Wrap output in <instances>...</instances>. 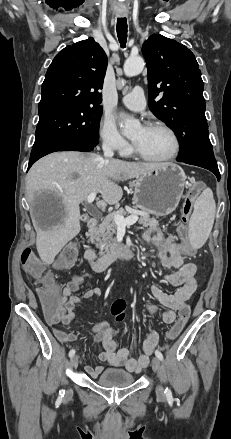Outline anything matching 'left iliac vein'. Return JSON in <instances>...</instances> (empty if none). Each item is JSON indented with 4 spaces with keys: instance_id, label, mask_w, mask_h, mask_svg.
<instances>
[{
    "instance_id": "1",
    "label": "left iliac vein",
    "mask_w": 231,
    "mask_h": 439,
    "mask_svg": "<svg viewBox=\"0 0 231 439\" xmlns=\"http://www.w3.org/2000/svg\"><path fill=\"white\" fill-rule=\"evenodd\" d=\"M152 369L156 373V375H158V376L160 375V373H161V362H160V359L158 357H154L152 359ZM156 394H157V397L160 398V399L165 398L164 389H163L161 384L157 385V387H156Z\"/></svg>"
}]
</instances>
